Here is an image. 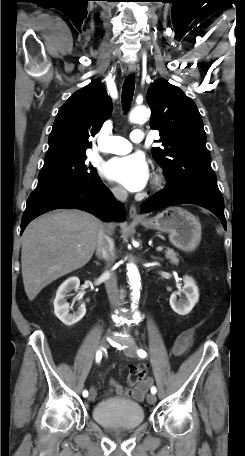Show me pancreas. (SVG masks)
Instances as JSON below:
<instances>
[{
  "label": "pancreas",
  "instance_id": "obj_1",
  "mask_svg": "<svg viewBox=\"0 0 245 456\" xmlns=\"http://www.w3.org/2000/svg\"><path fill=\"white\" fill-rule=\"evenodd\" d=\"M178 254L171 248H167L165 251L166 259H169L172 264L178 265L179 258L177 257Z\"/></svg>",
  "mask_w": 245,
  "mask_h": 456
}]
</instances>
